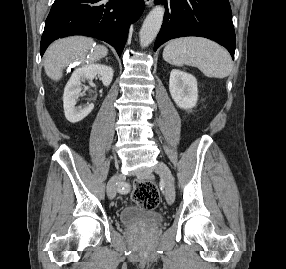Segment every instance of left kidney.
<instances>
[{"mask_svg": "<svg viewBox=\"0 0 286 269\" xmlns=\"http://www.w3.org/2000/svg\"><path fill=\"white\" fill-rule=\"evenodd\" d=\"M169 91L179 108L187 110L196 106L198 89L193 75L173 69L170 73Z\"/></svg>", "mask_w": 286, "mask_h": 269, "instance_id": "1", "label": "left kidney"}]
</instances>
